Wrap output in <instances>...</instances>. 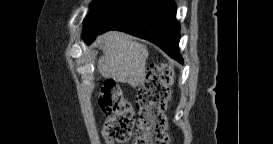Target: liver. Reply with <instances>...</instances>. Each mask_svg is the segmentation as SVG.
Listing matches in <instances>:
<instances>
[{
    "instance_id": "obj_1",
    "label": "liver",
    "mask_w": 273,
    "mask_h": 144,
    "mask_svg": "<svg viewBox=\"0 0 273 144\" xmlns=\"http://www.w3.org/2000/svg\"><path fill=\"white\" fill-rule=\"evenodd\" d=\"M104 44L103 55L97 61L98 72L105 78H113L137 87L144 83L148 50L130 35L112 31L100 37Z\"/></svg>"
}]
</instances>
